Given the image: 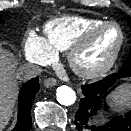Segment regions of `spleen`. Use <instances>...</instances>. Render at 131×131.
<instances>
[{
    "label": "spleen",
    "instance_id": "obj_1",
    "mask_svg": "<svg viewBox=\"0 0 131 131\" xmlns=\"http://www.w3.org/2000/svg\"><path fill=\"white\" fill-rule=\"evenodd\" d=\"M107 103L115 108L122 109L131 104V86L120 85L107 98Z\"/></svg>",
    "mask_w": 131,
    "mask_h": 131
}]
</instances>
